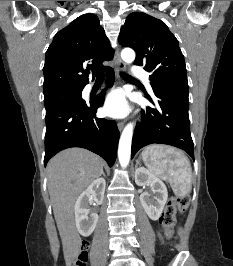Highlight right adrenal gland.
Segmentation results:
<instances>
[{
	"label": "right adrenal gland",
	"instance_id": "obj_1",
	"mask_svg": "<svg viewBox=\"0 0 233 266\" xmlns=\"http://www.w3.org/2000/svg\"><path fill=\"white\" fill-rule=\"evenodd\" d=\"M100 175H103V176H105V173L102 171Z\"/></svg>",
	"mask_w": 233,
	"mask_h": 266
}]
</instances>
